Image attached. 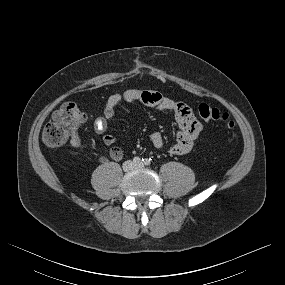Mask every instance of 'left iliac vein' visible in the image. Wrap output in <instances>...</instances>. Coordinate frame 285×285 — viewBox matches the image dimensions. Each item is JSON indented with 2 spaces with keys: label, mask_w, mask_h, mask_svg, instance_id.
<instances>
[{
  "label": "left iliac vein",
  "mask_w": 285,
  "mask_h": 285,
  "mask_svg": "<svg viewBox=\"0 0 285 285\" xmlns=\"http://www.w3.org/2000/svg\"><path fill=\"white\" fill-rule=\"evenodd\" d=\"M143 167V164L142 163H139V164H136L135 165V168H142Z\"/></svg>",
  "instance_id": "obj_1"
}]
</instances>
